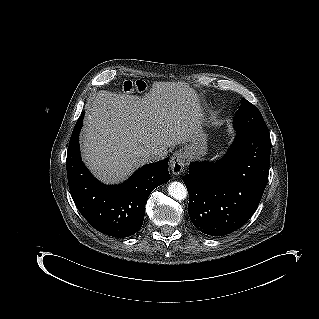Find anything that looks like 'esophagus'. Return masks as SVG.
Masks as SVG:
<instances>
[{
    "instance_id": "esophagus-1",
    "label": "esophagus",
    "mask_w": 319,
    "mask_h": 319,
    "mask_svg": "<svg viewBox=\"0 0 319 319\" xmlns=\"http://www.w3.org/2000/svg\"><path fill=\"white\" fill-rule=\"evenodd\" d=\"M185 155L183 152H175L170 159V170L174 175H180L184 171Z\"/></svg>"
}]
</instances>
